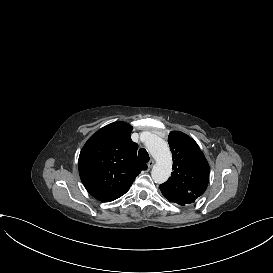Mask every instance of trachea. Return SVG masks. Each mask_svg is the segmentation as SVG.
I'll list each match as a JSON object with an SVG mask.
<instances>
[{
  "label": "trachea",
  "instance_id": "trachea-1",
  "mask_svg": "<svg viewBox=\"0 0 273 273\" xmlns=\"http://www.w3.org/2000/svg\"><path fill=\"white\" fill-rule=\"evenodd\" d=\"M138 158L142 161V162H148L150 157L148 152L145 149H140L138 152Z\"/></svg>",
  "mask_w": 273,
  "mask_h": 273
}]
</instances>
